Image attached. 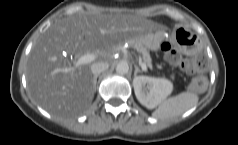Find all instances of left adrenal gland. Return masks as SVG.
<instances>
[{
  "mask_svg": "<svg viewBox=\"0 0 238 145\" xmlns=\"http://www.w3.org/2000/svg\"><path fill=\"white\" fill-rule=\"evenodd\" d=\"M134 67H135L134 77L137 76V73L143 72V70H141L137 65H134Z\"/></svg>",
  "mask_w": 238,
  "mask_h": 145,
  "instance_id": "obj_1",
  "label": "left adrenal gland"
}]
</instances>
